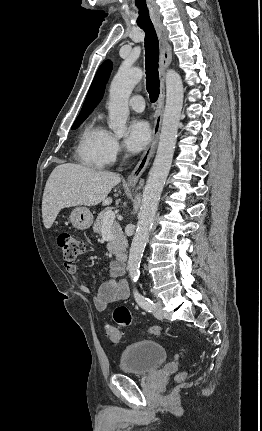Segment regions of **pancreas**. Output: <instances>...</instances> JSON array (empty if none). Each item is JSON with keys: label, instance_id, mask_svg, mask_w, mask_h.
Segmentation results:
<instances>
[{"label": "pancreas", "instance_id": "1", "mask_svg": "<svg viewBox=\"0 0 262 431\" xmlns=\"http://www.w3.org/2000/svg\"><path fill=\"white\" fill-rule=\"evenodd\" d=\"M107 211L109 210H104L100 212L93 225L94 232L99 233L100 235L102 233V228H103V219ZM110 231L113 236V239L109 240L107 244V249L111 252H118L120 250H124L126 247V238L122 233L119 223L113 222L110 225Z\"/></svg>", "mask_w": 262, "mask_h": 431}]
</instances>
